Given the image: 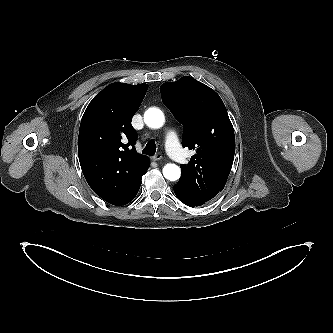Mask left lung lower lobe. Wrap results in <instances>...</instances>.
<instances>
[{
  "instance_id": "0a47b994",
  "label": "left lung lower lobe",
  "mask_w": 333,
  "mask_h": 333,
  "mask_svg": "<svg viewBox=\"0 0 333 333\" xmlns=\"http://www.w3.org/2000/svg\"><path fill=\"white\" fill-rule=\"evenodd\" d=\"M174 192L177 196V198L186 204L187 206L190 207H195V206H201L208 201L202 198L200 195L197 193L189 190L185 186L181 185L180 183H177L174 185Z\"/></svg>"
}]
</instances>
